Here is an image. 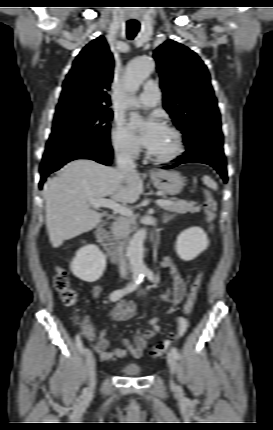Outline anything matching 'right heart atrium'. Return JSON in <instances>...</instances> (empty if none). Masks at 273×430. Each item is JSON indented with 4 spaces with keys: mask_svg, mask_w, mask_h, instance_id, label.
<instances>
[{
    "mask_svg": "<svg viewBox=\"0 0 273 430\" xmlns=\"http://www.w3.org/2000/svg\"><path fill=\"white\" fill-rule=\"evenodd\" d=\"M112 145L116 154L124 158H135L140 152L138 144L121 123H116L113 127Z\"/></svg>",
    "mask_w": 273,
    "mask_h": 430,
    "instance_id": "right-heart-atrium-1",
    "label": "right heart atrium"
}]
</instances>
